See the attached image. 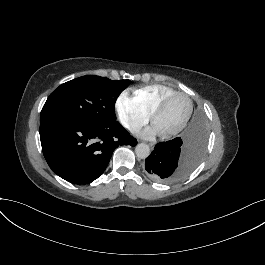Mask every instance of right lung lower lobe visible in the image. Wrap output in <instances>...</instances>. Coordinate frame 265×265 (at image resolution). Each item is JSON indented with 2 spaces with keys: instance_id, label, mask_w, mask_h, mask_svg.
<instances>
[{
  "instance_id": "obj_1",
  "label": "right lung lower lobe",
  "mask_w": 265,
  "mask_h": 265,
  "mask_svg": "<svg viewBox=\"0 0 265 265\" xmlns=\"http://www.w3.org/2000/svg\"><path fill=\"white\" fill-rule=\"evenodd\" d=\"M40 139L53 172L74 184L93 182L105 171L118 146L137 144L117 121L103 124L77 117L41 124Z\"/></svg>"
}]
</instances>
